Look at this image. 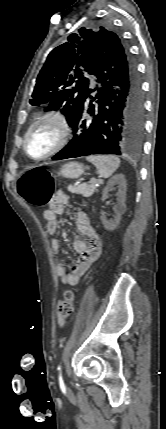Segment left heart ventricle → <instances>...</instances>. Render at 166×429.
I'll return each mask as SVG.
<instances>
[{
  "label": "left heart ventricle",
  "mask_w": 166,
  "mask_h": 429,
  "mask_svg": "<svg viewBox=\"0 0 166 429\" xmlns=\"http://www.w3.org/2000/svg\"><path fill=\"white\" fill-rule=\"evenodd\" d=\"M58 140V129L51 123H42L30 134L27 148L34 157H40L50 151Z\"/></svg>",
  "instance_id": "1"
}]
</instances>
